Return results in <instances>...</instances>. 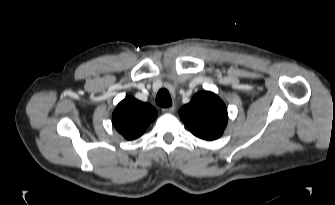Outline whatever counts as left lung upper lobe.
<instances>
[{"label": "left lung upper lobe", "mask_w": 335, "mask_h": 205, "mask_svg": "<svg viewBox=\"0 0 335 205\" xmlns=\"http://www.w3.org/2000/svg\"><path fill=\"white\" fill-rule=\"evenodd\" d=\"M182 121L200 139L215 140L224 132L228 114L225 104L209 91L195 94L180 111Z\"/></svg>", "instance_id": "5c2ea615"}]
</instances>
